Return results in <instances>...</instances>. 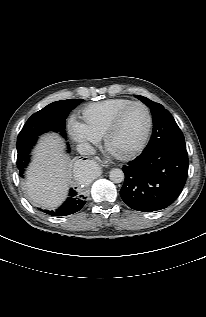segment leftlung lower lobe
I'll list each match as a JSON object with an SVG mask.
<instances>
[{"mask_svg":"<svg viewBox=\"0 0 206 317\" xmlns=\"http://www.w3.org/2000/svg\"><path fill=\"white\" fill-rule=\"evenodd\" d=\"M122 171V200L134 210H161L176 200L186 182L188 154L186 148L173 145L145 150Z\"/></svg>","mask_w":206,"mask_h":317,"instance_id":"obj_1","label":"left lung lower lobe"}]
</instances>
